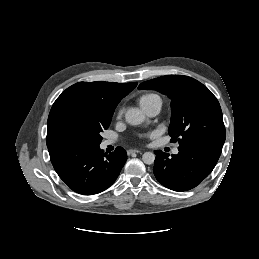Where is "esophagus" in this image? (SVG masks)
I'll return each instance as SVG.
<instances>
[{"mask_svg":"<svg viewBox=\"0 0 259 259\" xmlns=\"http://www.w3.org/2000/svg\"><path fill=\"white\" fill-rule=\"evenodd\" d=\"M138 154V153H141V151L140 150H133V149H130V150H128L127 151V154L128 155H132V154Z\"/></svg>","mask_w":259,"mask_h":259,"instance_id":"1","label":"esophagus"}]
</instances>
